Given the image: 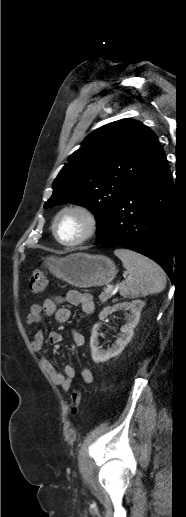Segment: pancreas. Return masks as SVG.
<instances>
[{
  "instance_id": "obj_1",
  "label": "pancreas",
  "mask_w": 186,
  "mask_h": 517,
  "mask_svg": "<svg viewBox=\"0 0 186 517\" xmlns=\"http://www.w3.org/2000/svg\"><path fill=\"white\" fill-rule=\"evenodd\" d=\"M111 298V292H102L100 295H99V299L102 303H105L108 299Z\"/></svg>"
}]
</instances>
